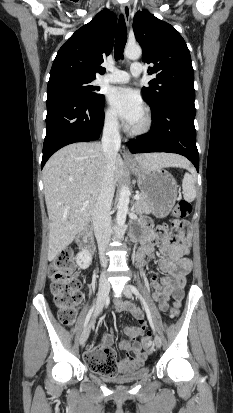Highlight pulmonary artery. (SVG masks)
<instances>
[{
    "mask_svg": "<svg viewBox=\"0 0 233 413\" xmlns=\"http://www.w3.org/2000/svg\"><path fill=\"white\" fill-rule=\"evenodd\" d=\"M142 65L140 63H133L130 69V73L118 70V69H109V73L103 75L100 78L102 83H112V84H123L127 83L130 80V76L137 77L142 73Z\"/></svg>",
    "mask_w": 233,
    "mask_h": 413,
    "instance_id": "1",
    "label": "pulmonary artery"
}]
</instances>
